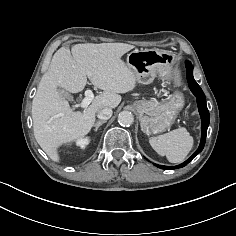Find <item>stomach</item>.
<instances>
[{"label":"stomach","mask_w":236,"mask_h":236,"mask_svg":"<svg viewBox=\"0 0 236 236\" xmlns=\"http://www.w3.org/2000/svg\"><path fill=\"white\" fill-rule=\"evenodd\" d=\"M170 54L156 49H135L127 56V65L135 72L137 82L147 85L159 75L162 79H174ZM184 105L183 95L176 91L168 101L139 100L134 103L141 129L146 134H157L168 129Z\"/></svg>","instance_id":"stomach-1"}]
</instances>
